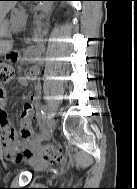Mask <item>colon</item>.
Returning <instances> with one entry per match:
<instances>
[{
  "label": "colon",
  "mask_w": 137,
  "mask_h": 189,
  "mask_svg": "<svg viewBox=\"0 0 137 189\" xmlns=\"http://www.w3.org/2000/svg\"><path fill=\"white\" fill-rule=\"evenodd\" d=\"M16 58V53L11 52L6 59L0 60V89L12 79L14 75L13 62ZM30 108L33 110V105H31ZM42 157L55 164H62L65 161V157L61 150L52 145L43 147Z\"/></svg>",
  "instance_id": "colon-1"
}]
</instances>
